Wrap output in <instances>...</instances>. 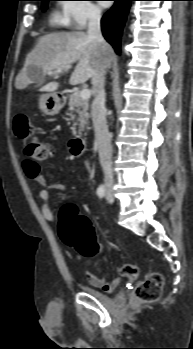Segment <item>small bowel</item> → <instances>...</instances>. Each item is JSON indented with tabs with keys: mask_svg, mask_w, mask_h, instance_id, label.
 <instances>
[{
	"mask_svg": "<svg viewBox=\"0 0 193 349\" xmlns=\"http://www.w3.org/2000/svg\"><path fill=\"white\" fill-rule=\"evenodd\" d=\"M24 171L29 178L33 179L37 184L43 187L39 191L40 209L43 217L47 221L53 222L54 213L50 202V192L46 188L47 180L44 174L41 173L40 166L25 161ZM52 188L61 192L65 191V188L58 184H54ZM120 273L123 277L134 278L137 276V268L135 266H125L120 270ZM85 276L93 287L103 288L106 291H112L120 282V278L107 281L104 275L90 271H86Z\"/></svg>",
	"mask_w": 193,
	"mask_h": 349,
	"instance_id": "c3829d8e",
	"label": "small bowel"
}]
</instances>
